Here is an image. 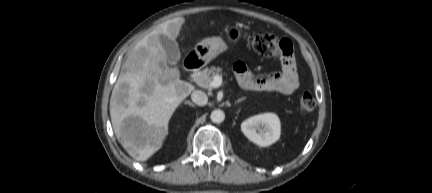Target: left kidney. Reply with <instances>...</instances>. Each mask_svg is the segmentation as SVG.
<instances>
[{
    "instance_id": "obj_1",
    "label": "left kidney",
    "mask_w": 432,
    "mask_h": 193,
    "mask_svg": "<svg viewBox=\"0 0 432 193\" xmlns=\"http://www.w3.org/2000/svg\"><path fill=\"white\" fill-rule=\"evenodd\" d=\"M243 134L253 143L267 147L280 138L281 124L274 113L252 116L241 123Z\"/></svg>"
}]
</instances>
